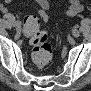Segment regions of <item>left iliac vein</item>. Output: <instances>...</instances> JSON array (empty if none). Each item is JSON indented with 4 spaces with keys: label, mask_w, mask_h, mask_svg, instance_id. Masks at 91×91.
I'll return each instance as SVG.
<instances>
[{
    "label": "left iliac vein",
    "mask_w": 91,
    "mask_h": 91,
    "mask_svg": "<svg viewBox=\"0 0 91 91\" xmlns=\"http://www.w3.org/2000/svg\"><path fill=\"white\" fill-rule=\"evenodd\" d=\"M72 35L77 38L80 36V32L78 30H73Z\"/></svg>",
    "instance_id": "4c4485c4"
}]
</instances>
